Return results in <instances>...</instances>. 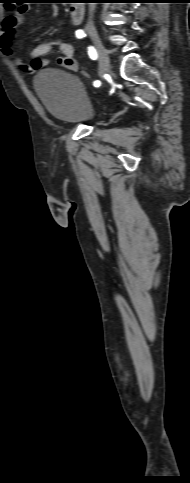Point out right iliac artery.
<instances>
[{
	"mask_svg": "<svg viewBox=\"0 0 190 483\" xmlns=\"http://www.w3.org/2000/svg\"><path fill=\"white\" fill-rule=\"evenodd\" d=\"M76 36H77V38H83V37H85V36H86V34L84 33V31H83V30H77V31H76ZM88 55H89V57H90L92 60H96V59H97V52H96V50H95V48H94V47L90 46V47L88 48ZM100 84H101V82H100L99 80H96V81H94V83H93V85H94L95 87H99V86H100Z\"/></svg>",
	"mask_w": 190,
	"mask_h": 483,
	"instance_id": "1",
	"label": "right iliac artery"
}]
</instances>
